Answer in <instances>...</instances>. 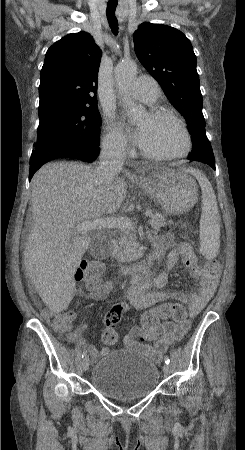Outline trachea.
Returning <instances> with one entry per match:
<instances>
[{
    "label": "trachea",
    "mask_w": 245,
    "mask_h": 450,
    "mask_svg": "<svg viewBox=\"0 0 245 450\" xmlns=\"http://www.w3.org/2000/svg\"><path fill=\"white\" fill-rule=\"evenodd\" d=\"M117 4H118L117 1H109L107 3V10H106V15H107V19H108L110 28L115 36L118 34V22L115 17V10H116Z\"/></svg>",
    "instance_id": "obj_1"
}]
</instances>
